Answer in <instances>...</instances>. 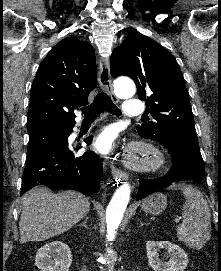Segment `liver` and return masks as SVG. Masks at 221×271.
I'll use <instances>...</instances> for the list:
<instances>
[{
    "label": "liver",
    "mask_w": 221,
    "mask_h": 271,
    "mask_svg": "<svg viewBox=\"0 0 221 271\" xmlns=\"http://www.w3.org/2000/svg\"><path fill=\"white\" fill-rule=\"evenodd\" d=\"M20 241H44L68 231L87 215L90 201L78 191L51 193L48 187H32L21 197Z\"/></svg>",
    "instance_id": "1"
}]
</instances>
